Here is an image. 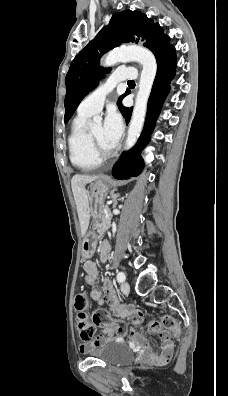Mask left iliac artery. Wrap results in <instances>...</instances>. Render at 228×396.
<instances>
[{
  "mask_svg": "<svg viewBox=\"0 0 228 396\" xmlns=\"http://www.w3.org/2000/svg\"><path fill=\"white\" fill-rule=\"evenodd\" d=\"M125 279H126V276H125V273H124V272H119V273L117 274V281H118L119 283L124 282Z\"/></svg>",
  "mask_w": 228,
  "mask_h": 396,
  "instance_id": "obj_1",
  "label": "left iliac artery"
}]
</instances>
